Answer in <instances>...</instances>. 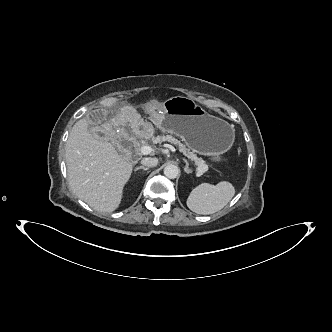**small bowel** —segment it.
Instances as JSON below:
<instances>
[{
    "label": "small bowel",
    "instance_id": "small-bowel-1",
    "mask_svg": "<svg viewBox=\"0 0 332 332\" xmlns=\"http://www.w3.org/2000/svg\"><path fill=\"white\" fill-rule=\"evenodd\" d=\"M145 114L148 118H156L161 113V103L158 100H147L145 102ZM113 112L109 108H100L97 111H92L88 115V122L92 126H99L102 123L106 124L112 121L113 119ZM134 132L137 136L141 138H149L154 133V128L151 124L145 123L144 121H138L134 125Z\"/></svg>",
    "mask_w": 332,
    "mask_h": 332
}]
</instances>
